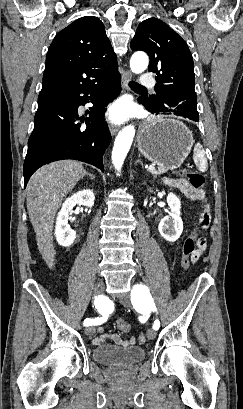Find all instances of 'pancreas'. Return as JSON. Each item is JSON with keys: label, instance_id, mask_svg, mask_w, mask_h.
Returning <instances> with one entry per match:
<instances>
[{"label": "pancreas", "instance_id": "1", "mask_svg": "<svg viewBox=\"0 0 243 409\" xmlns=\"http://www.w3.org/2000/svg\"><path fill=\"white\" fill-rule=\"evenodd\" d=\"M166 171L167 170L162 168V167H159L158 169L150 170L151 174H153L154 176L161 175V174L165 173Z\"/></svg>", "mask_w": 243, "mask_h": 409}]
</instances>
